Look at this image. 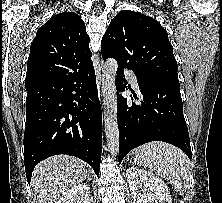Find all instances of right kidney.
I'll list each match as a JSON object with an SVG mask.
<instances>
[{
  "mask_svg": "<svg viewBox=\"0 0 222 203\" xmlns=\"http://www.w3.org/2000/svg\"><path fill=\"white\" fill-rule=\"evenodd\" d=\"M90 188L88 184L72 187L58 203H89Z\"/></svg>",
  "mask_w": 222,
  "mask_h": 203,
  "instance_id": "ca27d5eb",
  "label": "right kidney"
}]
</instances>
